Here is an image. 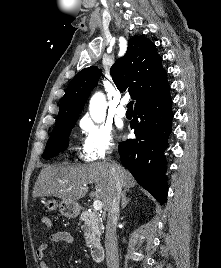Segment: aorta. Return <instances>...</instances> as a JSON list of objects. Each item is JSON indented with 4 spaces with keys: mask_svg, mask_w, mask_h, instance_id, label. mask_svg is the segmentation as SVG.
I'll return each mask as SVG.
<instances>
[{
    "mask_svg": "<svg viewBox=\"0 0 221 268\" xmlns=\"http://www.w3.org/2000/svg\"><path fill=\"white\" fill-rule=\"evenodd\" d=\"M89 112L92 119L100 123L104 121L106 115V99L103 93H95L89 103Z\"/></svg>",
    "mask_w": 221,
    "mask_h": 268,
    "instance_id": "obj_1",
    "label": "aorta"
}]
</instances>
